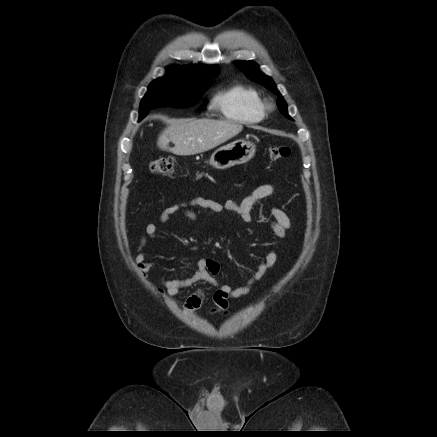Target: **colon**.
<instances>
[{"instance_id": "obj_1", "label": "colon", "mask_w": 437, "mask_h": 437, "mask_svg": "<svg viewBox=\"0 0 437 437\" xmlns=\"http://www.w3.org/2000/svg\"><path fill=\"white\" fill-rule=\"evenodd\" d=\"M268 154L272 161H276L286 156H290L291 148L285 145L273 146L269 148ZM174 166L175 161L172 157H160L151 162L150 171L154 174L167 175L173 173Z\"/></svg>"}]
</instances>
